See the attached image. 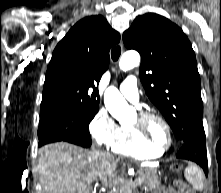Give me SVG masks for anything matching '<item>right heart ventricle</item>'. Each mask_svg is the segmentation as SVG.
Listing matches in <instances>:
<instances>
[{"label": "right heart ventricle", "mask_w": 221, "mask_h": 193, "mask_svg": "<svg viewBox=\"0 0 221 193\" xmlns=\"http://www.w3.org/2000/svg\"><path fill=\"white\" fill-rule=\"evenodd\" d=\"M109 148L117 155L133 158H154L162 153L143 142L131 125L120 126L119 136Z\"/></svg>", "instance_id": "e07e8e85"}]
</instances>
